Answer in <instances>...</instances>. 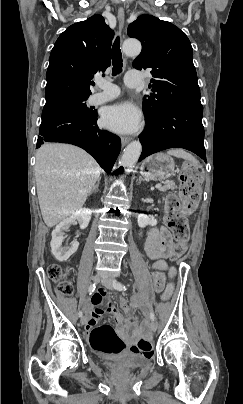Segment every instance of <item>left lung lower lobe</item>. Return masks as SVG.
<instances>
[{"label":"left lung lower lobe","mask_w":243,"mask_h":404,"mask_svg":"<svg viewBox=\"0 0 243 404\" xmlns=\"http://www.w3.org/2000/svg\"><path fill=\"white\" fill-rule=\"evenodd\" d=\"M201 104L176 103L166 107L153 121H146L140 135L143 151L139 161L169 148H184L206 162Z\"/></svg>","instance_id":"left-lung-lower-lobe-1"}]
</instances>
